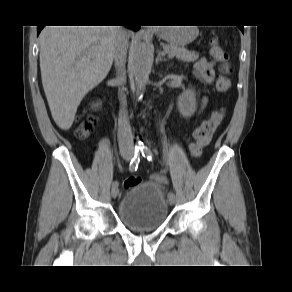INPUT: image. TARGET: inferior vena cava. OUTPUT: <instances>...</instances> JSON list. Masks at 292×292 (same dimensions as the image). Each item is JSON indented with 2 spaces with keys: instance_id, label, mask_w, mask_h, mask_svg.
Returning a JSON list of instances; mask_svg holds the SVG:
<instances>
[{
  "instance_id": "1",
  "label": "inferior vena cava",
  "mask_w": 292,
  "mask_h": 292,
  "mask_svg": "<svg viewBox=\"0 0 292 292\" xmlns=\"http://www.w3.org/2000/svg\"><path fill=\"white\" fill-rule=\"evenodd\" d=\"M127 49H128V38L125 31L120 28L116 45H115V54H114V61L115 67L117 69V77L116 82L119 85H122L125 80V62L127 56ZM121 103H122V110H121V117L119 120V130H118V141H119V148L123 151H133L134 150V142L131 127L129 125L127 115L125 114V97L120 96Z\"/></svg>"
}]
</instances>
